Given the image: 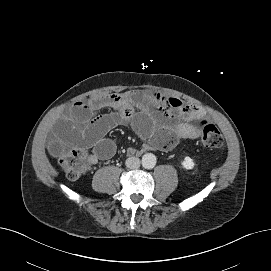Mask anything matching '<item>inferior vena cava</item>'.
<instances>
[{
	"instance_id": "602c4592",
	"label": "inferior vena cava",
	"mask_w": 271,
	"mask_h": 271,
	"mask_svg": "<svg viewBox=\"0 0 271 271\" xmlns=\"http://www.w3.org/2000/svg\"><path fill=\"white\" fill-rule=\"evenodd\" d=\"M125 165L129 169H136L140 166V159L137 157H130L126 159Z\"/></svg>"
}]
</instances>
